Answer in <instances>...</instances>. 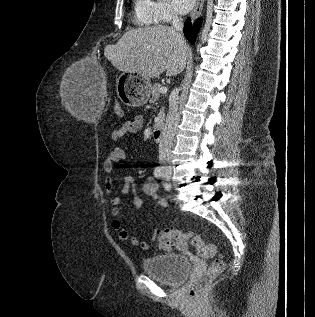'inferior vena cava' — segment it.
I'll list each match as a JSON object with an SVG mask.
<instances>
[{"instance_id": "602c4592", "label": "inferior vena cava", "mask_w": 315, "mask_h": 317, "mask_svg": "<svg viewBox=\"0 0 315 317\" xmlns=\"http://www.w3.org/2000/svg\"><path fill=\"white\" fill-rule=\"evenodd\" d=\"M172 28L177 32L180 38L184 39L183 19L178 15H173ZM178 124V102L174 98L170 103L169 112L167 114L165 127L159 143V161L164 164L171 158V146L174 140L175 132ZM162 170H168L167 167L162 166Z\"/></svg>"}]
</instances>
